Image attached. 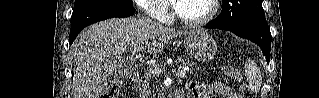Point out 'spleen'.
I'll list each match as a JSON object with an SVG mask.
<instances>
[{
    "instance_id": "obj_1",
    "label": "spleen",
    "mask_w": 319,
    "mask_h": 98,
    "mask_svg": "<svg viewBox=\"0 0 319 98\" xmlns=\"http://www.w3.org/2000/svg\"><path fill=\"white\" fill-rule=\"evenodd\" d=\"M245 76L249 82L250 89L254 92H259L262 84L261 72L255 61L251 58H247L246 60Z\"/></svg>"
}]
</instances>
